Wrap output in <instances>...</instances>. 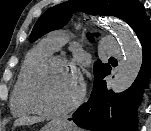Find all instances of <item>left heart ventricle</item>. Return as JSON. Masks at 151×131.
<instances>
[{"mask_svg": "<svg viewBox=\"0 0 151 131\" xmlns=\"http://www.w3.org/2000/svg\"><path fill=\"white\" fill-rule=\"evenodd\" d=\"M79 84V79L71 68L56 64L35 76L32 94L42 107L56 109L66 105L74 98Z\"/></svg>", "mask_w": 151, "mask_h": 131, "instance_id": "left-heart-ventricle-1", "label": "left heart ventricle"}]
</instances>
